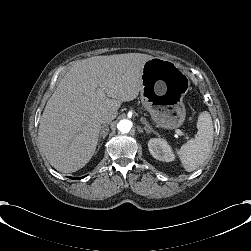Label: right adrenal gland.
<instances>
[{"label": "right adrenal gland", "instance_id": "obj_1", "mask_svg": "<svg viewBox=\"0 0 251 251\" xmlns=\"http://www.w3.org/2000/svg\"><path fill=\"white\" fill-rule=\"evenodd\" d=\"M109 133V127L108 124L102 125L100 132H99V138L103 137L105 139Z\"/></svg>", "mask_w": 251, "mask_h": 251}]
</instances>
